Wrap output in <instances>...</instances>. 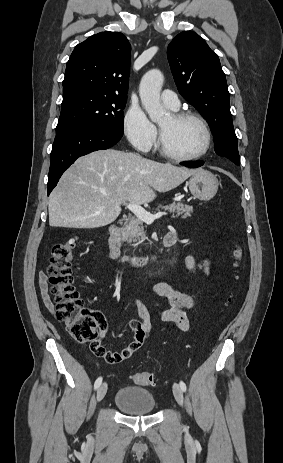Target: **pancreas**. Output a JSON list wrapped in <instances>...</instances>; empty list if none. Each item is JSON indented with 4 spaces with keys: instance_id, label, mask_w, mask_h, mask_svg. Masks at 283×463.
<instances>
[{
    "instance_id": "cf45deb5",
    "label": "pancreas",
    "mask_w": 283,
    "mask_h": 463,
    "mask_svg": "<svg viewBox=\"0 0 283 463\" xmlns=\"http://www.w3.org/2000/svg\"><path fill=\"white\" fill-rule=\"evenodd\" d=\"M159 208L168 210L171 213H176V215H173L172 217L181 216L182 219L190 217L194 210L192 206L184 205L182 203H172L166 206L160 205L158 209ZM121 231L123 240L128 243L137 241L141 242L145 238L143 220L138 217L130 218L121 228Z\"/></svg>"
}]
</instances>
